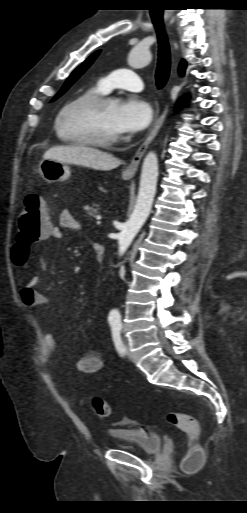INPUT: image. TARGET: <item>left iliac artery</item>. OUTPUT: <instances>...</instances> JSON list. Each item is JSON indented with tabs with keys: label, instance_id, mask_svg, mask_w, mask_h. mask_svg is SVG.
<instances>
[{
	"label": "left iliac artery",
	"instance_id": "left-iliac-artery-1",
	"mask_svg": "<svg viewBox=\"0 0 247 513\" xmlns=\"http://www.w3.org/2000/svg\"><path fill=\"white\" fill-rule=\"evenodd\" d=\"M121 329H122V323L120 321L114 322L111 324V330H112V338L115 344V347L117 351L124 355L126 349L121 339Z\"/></svg>",
	"mask_w": 247,
	"mask_h": 513
}]
</instances>
